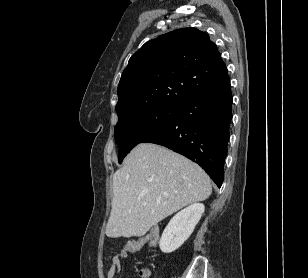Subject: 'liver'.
I'll use <instances>...</instances> for the list:
<instances>
[{"label":"liver","mask_w":308,"mask_h":278,"mask_svg":"<svg viewBox=\"0 0 308 278\" xmlns=\"http://www.w3.org/2000/svg\"><path fill=\"white\" fill-rule=\"evenodd\" d=\"M210 178L196 163L163 146L138 144L113 175L106 235L140 237L181 208L206 200Z\"/></svg>","instance_id":"obj_1"}]
</instances>
